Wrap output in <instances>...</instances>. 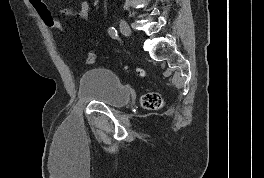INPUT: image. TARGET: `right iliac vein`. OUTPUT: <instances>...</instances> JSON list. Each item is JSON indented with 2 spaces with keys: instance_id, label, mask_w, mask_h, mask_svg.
Here are the masks:
<instances>
[{
  "instance_id": "obj_1",
  "label": "right iliac vein",
  "mask_w": 264,
  "mask_h": 178,
  "mask_svg": "<svg viewBox=\"0 0 264 178\" xmlns=\"http://www.w3.org/2000/svg\"><path fill=\"white\" fill-rule=\"evenodd\" d=\"M120 30L126 37H130L132 35L131 29L124 19H120Z\"/></svg>"
}]
</instances>
